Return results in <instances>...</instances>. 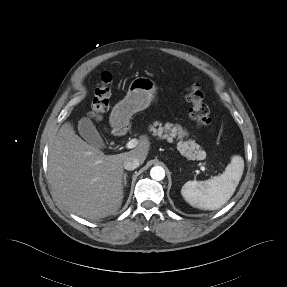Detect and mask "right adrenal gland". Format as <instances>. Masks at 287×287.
<instances>
[{"label": "right adrenal gland", "instance_id": "right-adrenal-gland-1", "mask_svg": "<svg viewBox=\"0 0 287 287\" xmlns=\"http://www.w3.org/2000/svg\"><path fill=\"white\" fill-rule=\"evenodd\" d=\"M126 177H127V173L124 174V178H123V181H124V186H126L127 184V180H126Z\"/></svg>", "mask_w": 287, "mask_h": 287}]
</instances>
